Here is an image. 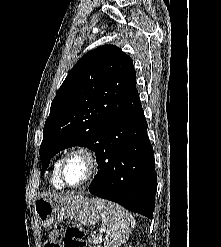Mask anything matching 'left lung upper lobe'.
<instances>
[{"label":"left lung upper lobe","instance_id":"1","mask_svg":"<svg viewBox=\"0 0 221 247\" xmlns=\"http://www.w3.org/2000/svg\"><path fill=\"white\" fill-rule=\"evenodd\" d=\"M132 59L114 45L86 53L68 73L51 104L40 146L42 169L60 150L83 146L95 154L113 120L140 109Z\"/></svg>","mask_w":221,"mask_h":247}]
</instances>
